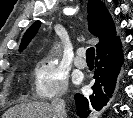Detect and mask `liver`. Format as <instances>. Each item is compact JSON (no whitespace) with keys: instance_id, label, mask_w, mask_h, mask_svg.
Wrapping results in <instances>:
<instances>
[{"instance_id":"6515ba94","label":"liver","mask_w":133,"mask_h":118,"mask_svg":"<svg viewBox=\"0 0 133 118\" xmlns=\"http://www.w3.org/2000/svg\"><path fill=\"white\" fill-rule=\"evenodd\" d=\"M2 118H56L52 106L44 102H34L15 106L3 114Z\"/></svg>"}]
</instances>
